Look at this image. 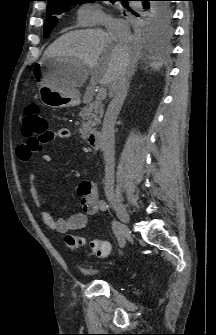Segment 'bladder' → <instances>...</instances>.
<instances>
[{"label":"bladder","mask_w":216,"mask_h":335,"mask_svg":"<svg viewBox=\"0 0 216 335\" xmlns=\"http://www.w3.org/2000/svg\"><path fill=\"white\" fill-rule=\"evenodd\" d=\"M80 270L85 274H95L98 272L96 269L89 268V267H81Z\"/></svg>","instance_id":"bladder-1"}]
</instances>
